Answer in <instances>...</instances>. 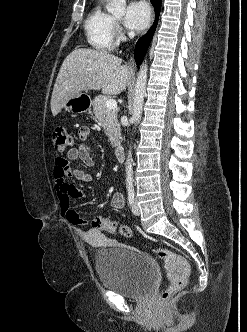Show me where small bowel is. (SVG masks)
Masks as SVG:
<instances>
[{
  "label": "small bowel",
  "instance_id": "1",
  "mask_svg": "<svg viewBox=\"0 0 247 332\" xmlns=\"http://www.w3.org/2000/svg\"><path fill=\"white\" fill-rule=\"evenodd\" d=\"M89 128L81 126L79 128V137L81 144L77 148H72L67 152L66 158H55L53 168V177L55 181L56 193L60 202V207L67 220L73 225L86 227L89 220L83 218L73 207L72 199L83 197L86 194L79 191L74 185L67 181V178L73 177L82 182H90L91 175L78 169L74 163L81 160L86 166L93 167L96 164V157L90 145L86 142L89 136ZM110 205L114 209L124 207V196L120 191H114L111 195Z\"/></svg>",
  "mask_w": 247,
  "mask_h": 332
}]
</instances>
